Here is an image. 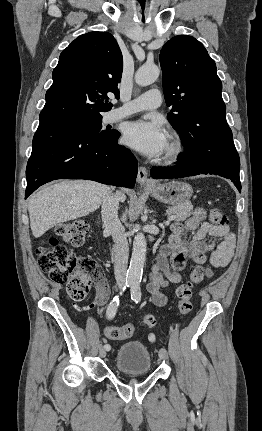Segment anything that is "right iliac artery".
Returning <instances> with one entry per match:
<instances>
[{"mask_svg":"<svg viewBox=\"0 0 262 431\" xmlns=\"http://www.w3.org/2000/svg\"><path fill=\"white\" fill-rule=\"evenodd\" d=\"M131 285H132V283L126 282V285L123 287V291L126 289V287H130ZM120 294H122V293H120ZM118 306H119V296H115L107 308L106 315H107L108 319L114 318V316L118 310ZM104 348L106 350L111 349L109 344H105Z\"/></svg>","mask_w":262,"mask_h":431,"instance_id":"82829eb1","label":"right iliac artery"}]
</instances>
